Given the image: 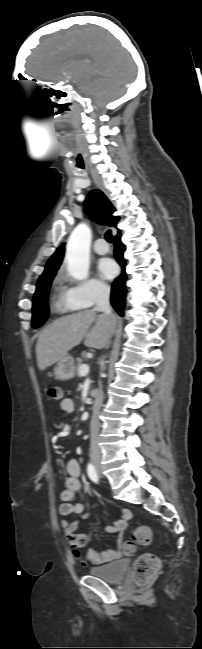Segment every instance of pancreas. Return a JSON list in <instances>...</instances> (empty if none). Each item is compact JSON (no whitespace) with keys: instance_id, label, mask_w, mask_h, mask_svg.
Masks as SVG:
<instances>
[{"instance_id":"1","label":"pancreas","mask_w":202,"mask_h":649,"mask_svg":"<svg viewBox=\"0 0 202 649\" xmlns=\"http://www.w3.org/2000/svg\"><path fill=\"white\" fill-rule=\"evenodd\" d=\"M82 365H85V364H83V362L79 360V361H78V365H77V375H80V374H79V368H80Z\"/></svg>"}]
</instances>
